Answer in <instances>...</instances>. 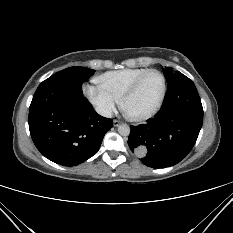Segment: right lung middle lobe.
<instances>
[{"instance_id": "1", "label": "right lung middle lobe", "mask_w": 233, "mask_h": 233, "mask_svg": "<svg viewBox=\"0 0 233 233\" xmlns=\"http://www.w3.org/2000/svg\"><path fill=\"white\" fill-rule=\"evenodd\" d=\"M94 72L95 70L86 67H70L57 72L50 78L64 79L82 84L87 79H89L94 74Z\"/></svg>"}]
</instances>
